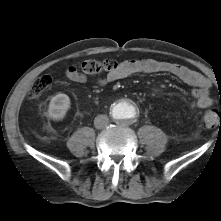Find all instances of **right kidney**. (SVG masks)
Masks as SVG:
<instances>
[{
  "label": "right kidney",
  "mask_w": 221,
  "mask_h": 221,
  "mask_svg": "<svg viewBox=\"0 0 221 221\" xmlns=\"http://www.w3.org/2000/svg\"><path fill=\"white\" fill-rule=\"evenodd\" d=\"M70 98L66 94L52 97L48 106V116L53 120H62L70 108Z\"/></svg>",
  "instance_id": "1"
}]
</instances>
